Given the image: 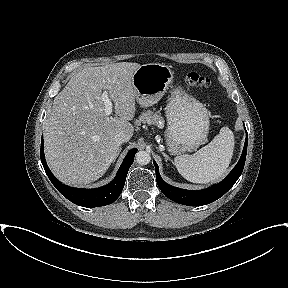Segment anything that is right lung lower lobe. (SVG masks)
<instances>
[{
	"mask_svg": "<svg viewBox=\"0 0 288 288\" xmlns=\"http://www.w3.org/2000/svg\"><path fill=\"white\" fill-rule=\"evenodd\" d=\"M137 150L138 149H132L128 152L112 182L96 189L73 188L59 182L46 164L43 150V136L41 140V162L50 181L64 197L76 205L91 208L111 204L119 197Z\"/></svg>",
	"mask_w": 288,
	"mask_h": 288,
	"instance_id": "98d812e1",
	"label": "right lung lower lobe"
}]
</instances>
